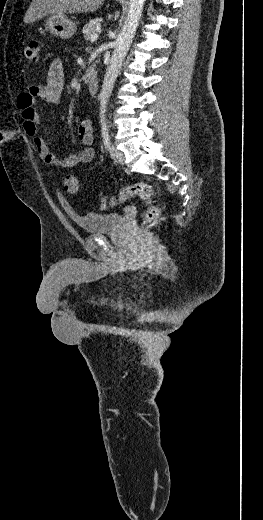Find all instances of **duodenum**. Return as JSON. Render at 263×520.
<instances>
[{
  "label": "duodenum",
  "mask_w": 263,
  "mask_h": 520,
  "mask_svg": "<svg viewBox=\"0 0 263 520\" xmlns=\"http://www.w3.org/2000/svg\"><path fill=\"white\" fill-rule=\"evenodd\" d=\"M88 90L91 95H95L98 92L99 85L96 76L89 74L86 77Z\"/></svg>",
  "instance_id": "1"
}]
</instances>
